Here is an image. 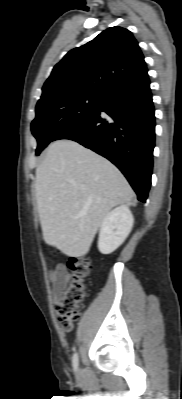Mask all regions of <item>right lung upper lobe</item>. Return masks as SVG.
<instances>
[{
    "label": "right lung upper lobe",
    "mask_w": 182,
    "mask_h": 399,
    "mask_svg": "<svg viewBox=\"0 0 182 399\" xmlns=\"http://www.w3.org/2000/svg\"><path fill=\"white\" fill-rule=\"evenodd\" d=\"M147 72L133 34L122 27H111L63 57L44 83L38 102L76 94L105 96L147 80Z\"/></svg>",
    "instance_id": "obj_1"
}]
</instances>
